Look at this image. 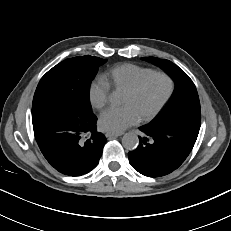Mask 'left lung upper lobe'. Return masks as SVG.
<instances>
[{
  "label": "left lung upper lobe",
  "instance_id": "obj_1",
  "mask_svg": "<svg viewBox=\"0 0 231 231\" xmlns=\"http://www.w3.org/2000/svg\"><path fill=\"white\" fill-rule=\"evenodd\" d=\"M169 73L175 81L174 94L165 111L148 125L155 127L186 126L200 129L201 110L196 87L190 77L177 65L166 59L144 57Z\"/></svg>",
  "mask_w": 231,
  "mask_h": 231
}]
</instances>
